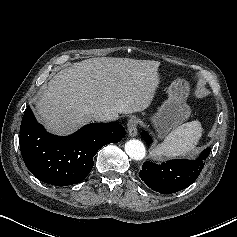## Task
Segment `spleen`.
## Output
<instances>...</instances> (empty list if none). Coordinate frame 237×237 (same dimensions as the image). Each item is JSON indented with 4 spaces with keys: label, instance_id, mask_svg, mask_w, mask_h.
<instances>
[{
    "label": "spleen",
    "instance_id": "3e777b00",
    "mask_svg": "<svg viewBox=\"0 0 237 237\" xmlns=\"http://www.w3.org/2000/svg\"><path fill=\"white\" fill-rule=\"evenodd\" d=\"M202 136L199 121H191L174 129L164 141L156 146L150 155L153 158L178 157L193 151Z\"/></svg>",
    "mask_w": 237,
    "mask_h": 237
}]
</instances>
